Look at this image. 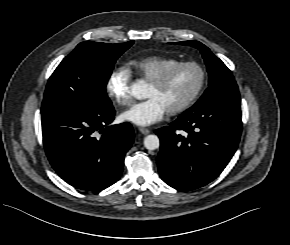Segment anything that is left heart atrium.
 Segmentation results:
<instances>
[{
    "label": "left heart atrium",
    "instance_id": "left-heart-atrium-1",
    "mask_svg": "<svg viewBox=\"0 0 290 245\" xmlns=\"http://www.w3.org/2000/svg\"><path fill=\"white\" fill-rule=\"evenodd\" d=\"M167 113L164 105L155 97L133 105L123 113V118L140 126H148L159 122Z\"/></svg>",
    "mask_w": 290,
    "mask_h": 245
}]
</instances>
